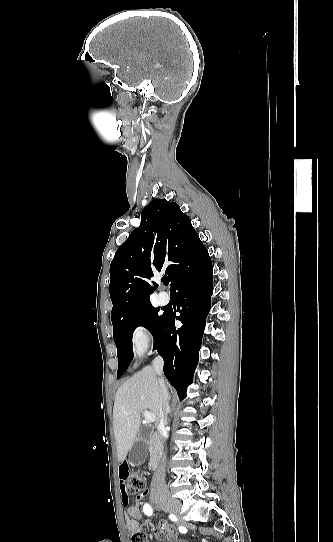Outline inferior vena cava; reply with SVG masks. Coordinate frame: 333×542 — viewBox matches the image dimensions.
Masks as SVG:
<instances>
[{"label": "inferior vena cava", "mask_w": 333, "mask_h": 542, "mask_svg": "<svg viewBox=\"0 0 333 542\" xmlns=\"http://www.w3.org/2000/svg\"><path fill=\"white\" fill-rule=\"evenodd\" d=\"M152 366L158 376V384H159V388L163 394V404H164V408H162V412H161V420H160V426H162V428H165V426H167L168 422L166 420V396H167V392H166V388H165V382H164V378H163V366H164V362L162 360V358H160V356H157V358H155V360H153L152 362ZM165 468H166V456L165 454H163L161 460H160V464L157 468V470H155L154 472V476L152 478V482H151V492H156V490H159V488H164V486H166V482H165Z\"/></svg>", "instance_id": "602c4592"}]
</instances>
